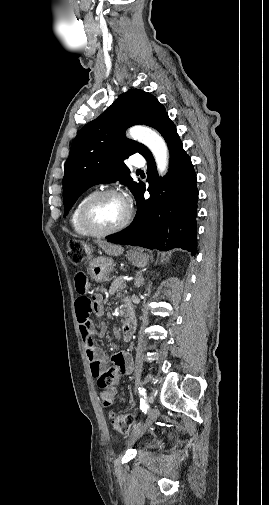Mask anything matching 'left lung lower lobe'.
Wrapping results in <instances>:
<instances>
[{
	"label": "left lung lower lobe",
	"instance_id": "obj_1",
	"mask_svg": "<svg viewBox=\"0 0 269 505\" xmlns=\"http://www.w3.org/2000/svg\"><path fill=\"white\" fill-rule=\"evenodd\" d=\"M155 129L169 147V172L160 179L152 153L147 152L144 158L148 166L150 198L144 199L145 184L142 183L135 195L138 209L133 223L108 238V242L161 251L179 247L195 254L198 201L196 173L168 114Z\"/></svg>",
	"mask_w": 269,
	"mask_h": 505
}]
</instances>
